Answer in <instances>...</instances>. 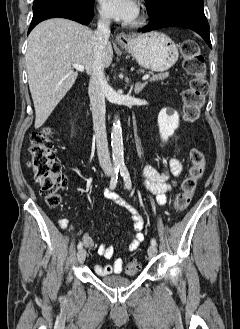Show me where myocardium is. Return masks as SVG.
<instances>
[{
    "instance_id": "obj_1",
    "label": "myocardium",
    "mask_w": 240,
    "mask_h": 329,
    "mask_svg": "<svg viewBox=\"0 0 240 329\" xmlns=\"http://www.w3.org/2000/svg\"><path fill=\"white\" fill-rule=\"evenodd\" d=\"M144 21H145V17H144V15H140V16L137 18V20L134 21V22L132 23V26H139V25L143 24Z\"/></svg>"
}]
</instances>
